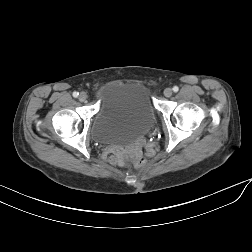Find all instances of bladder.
Here are the masks:
<instances>
[{"label":"bladder","instance_id":"bladder-1","mask_svg":"<svg viewBox=\"0 0 252 252\" xmlns=\"http://www.w3.org/2000/svg\"><path fill=\"white\" fill-rule=\"evenodd\" d=\"M91 134L99 144H130L152 129L155 114L147 88L138 82H110L96 93Z\"/></svg>","mask_w":252,"mask_h":252}]
</instances>
